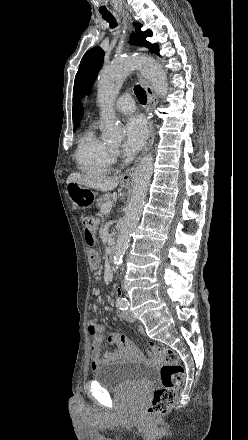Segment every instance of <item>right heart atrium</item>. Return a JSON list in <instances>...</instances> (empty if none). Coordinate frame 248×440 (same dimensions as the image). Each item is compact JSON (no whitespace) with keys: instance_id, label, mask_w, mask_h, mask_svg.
Masks as SVG:
<instances>
[{"instance_id":"d8ad5b80","label":"right heart atrium","mask_w":248,"mask_h":440,"mask_svg":"<svg viewBox=\"0 0 248 440\" xmlns=\"http://www.w3.org/2000/svg\"><path fill=\"white\" fill-rule=\"evenodd\" d=\"M117 156H118V152H117L116 150H112V151H111V157H112V160L116 159Z\"/></svg>"}]
</instances>
